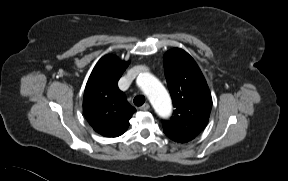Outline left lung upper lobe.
<instances>
[{"label":"left lung upper lobe","mask_w":288,"mask_h":181,"mask_svg":"<svg viewBox=\"0 0 288 181\" xmlns=\"http://www.w3.org/2000/svg\"><path fill=\"white\" fill-rule=\"evenodd\" d=\"M164 71L176 108L174 116L163 123L168 137L195 138L206 126L212 97L205 78L194 59L174 48L164 55Z\"/></svg>","instance_id":"1"}]
</instances>
